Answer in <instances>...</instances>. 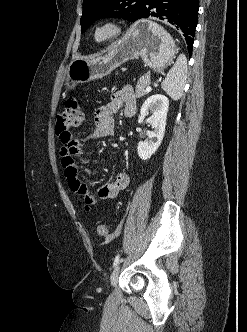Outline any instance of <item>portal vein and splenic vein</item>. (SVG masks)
Masks as SVG:
<instances>
[{
	"label": "portal vein and splenic vein",
	"mask_w": 247,
	"mask_h": 332,
	"mask_svg": "<svg viewBox=\"0 0 247 332\" xmlns=\"http://www.w3.org/2000/svg\"><path fill=\"white\" fill-rule=\"evenodd\" d=\"M152 90L151 86H147L145 92H150Z\"/></svg>",
	"instance_id": "obj_1"
}]
</instances>
